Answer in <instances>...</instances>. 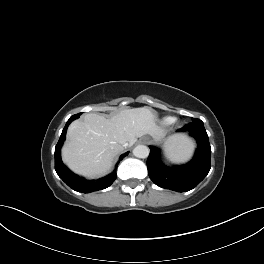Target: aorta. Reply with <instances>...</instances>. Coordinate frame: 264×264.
I'll return each mask as SVG.
<instances>
[{
  "instance_id": "aorta-1",
  "label": "aorta",
  "mask_w": 264,
  "mask_h": 264,
  "mask_svg": "<svg viewBox=\"0 0 264 264\" xmlns=\"http://www.w3.org/2000/svg\"><path fill=\"white\" fill-rule=\"evenodd\" d=\"M133 155L137 158H146L149 155V148L145 145H138L133 149Z\"/></svg>"
}]
</instances>
